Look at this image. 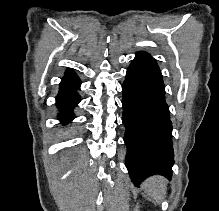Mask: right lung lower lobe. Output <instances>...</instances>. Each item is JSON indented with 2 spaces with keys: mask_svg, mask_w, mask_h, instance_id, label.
Listing matches in <instances>:
<instances>
[{
  "mask_svg": "<svg viewBox=\"0 0 219 211\" xmlns=\"http://www.w3.org/2000/svg\"><path fill=\"white\" fill-rule=\"evenodd\" d=\"M80 84L78 76L72 70H67L56 97V105L59 109L58 119L62 124H67L75 118L72 110L80 102V96L77 94Z\"/></svg>",
  "mask_w": 219,
  "mask_h": 211,
  "instance_id": "98d812e1",
  "label": "right lung lower lobe"
}]
</instances>
